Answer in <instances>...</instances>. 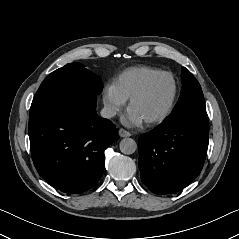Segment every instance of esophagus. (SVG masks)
Wrapping results in <instances>:
<instances>
[{
	"label": "esophagus",
	"mask_w": 239,
	"mask_h": 239,
	"mask_svg": "<svg viewBox=\"0 0 239 239\" xmlns=\"http://www.w3.org/2000/svg\"><path fill=\"white\" fill-rule=\"evenodd\" d=\"M119 136L120 137H129L131 133L123 128L119 129Z\"/></svg>",
	"instance_id": "obj_1"
}]
</instances>
